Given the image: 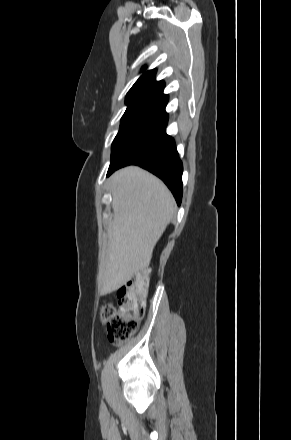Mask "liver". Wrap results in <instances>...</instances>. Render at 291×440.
I'll use <instances>...</instances> for the list:
<instances>
[{"label": "liver", "mask_w": 291, "mask_h": 440, "mask_svg": "<svg viewBox=\"0 0 291 440\" xmlns=\"http://www.w3.org/2000/svg\"><path fill=\"white\" fill-rule=\"evenodd\" d=\"M113 220L101 294L125 285L149 266L153 249L174 214V198L165 184L137 166L111 177Z\"/></svg>", "instance_id": "6515ba94"}]
</instances>
